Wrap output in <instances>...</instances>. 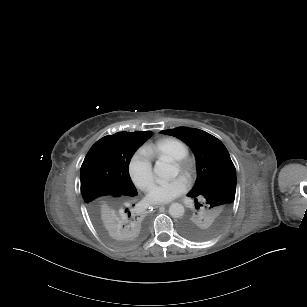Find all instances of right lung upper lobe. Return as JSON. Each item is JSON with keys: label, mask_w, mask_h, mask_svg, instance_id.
<instances>
[{"label": "right lung upper lobe", "mask_w": 307, "mask_h": 307, "mask_svg": "<svg viewBox=\"0 0 307 307\" xmlns=\"http://www.w3.org/2000/svg\"><path fill=\"white\" fill-rule=\"evenodd\" d=\"M151 135V131L118 132L101 138L89 150L87 156L95 157L112 169L119 181L113 192L84 202L101 229L137 236L147 227L148 213L137 197L128 166L134 152Z\"/></svg>", "instance_id": "cb5924a9"}]
</instances>
